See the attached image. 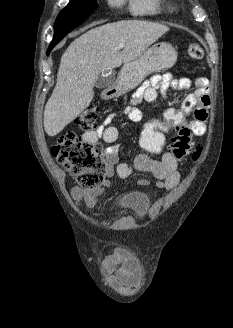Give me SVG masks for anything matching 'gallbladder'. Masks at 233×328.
Listing matches in <instances>:
<instances>
[{
	"label": "gallbladder",
	"instance_id": "obj_1",
	"mask_svg": "<svg viewBox=\"0 0 233 328\" xmlns=\"http://www.w3.org/2000/svg\"><path fill=\"white\" fill-rule=\"evenodd\" d=\"M105 72H108V71H105ZM113 79H114L113 73L109 76H104L103 74H100L98 76V79H97L95 85L97 88H105L113 81Z\"/></svg>",
	"mask_w": 233,
	"mask_h": 328
}]
</instances>
